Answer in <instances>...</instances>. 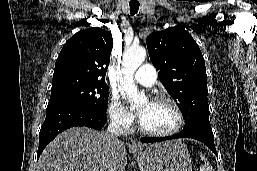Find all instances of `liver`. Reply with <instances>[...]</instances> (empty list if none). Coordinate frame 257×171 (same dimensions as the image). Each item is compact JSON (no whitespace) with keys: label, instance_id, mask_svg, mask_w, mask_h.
Listing matches in <instances>:
<instances>
[{"label":"liver","instance_id":"6515ba94","mask_svg":"<svg viewBox=\"0 0 257 171\" xmlns=\"http://www.w3.org/2000/svg\"><path fill=\"white\" fill-rule=\"evenodd\" d=\"M126 164V147L117 137L73 127L44 149L38 171H124Z\"/></svg>","mask_w":257,"mask_h":171}]
</instances>
